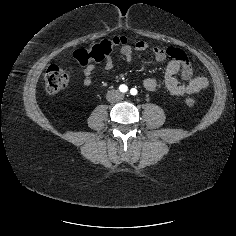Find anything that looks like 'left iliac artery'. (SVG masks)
Here are the masks:
<instances>
[{"label": "left iliac artery", "mask_w": 236, "mask_h": 236, "mask_svg": "<svg viewBox=\"0 0 236 236\" xmlns=\"http://www.w3.org/2000/svg\"><path fill=\"white\" fill-rule=\"evenodd\" d=\"M137 92H138V91H137V89H135V88H132V89L130 90V94L133 95V96L136 95Z\"/></svg>", "instance_id": "left-iliac-artery-1"}]
</instances>
